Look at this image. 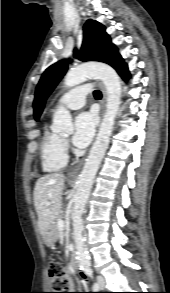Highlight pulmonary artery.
<instances>
[{"label":"pulmonary artery","instance_id":"pulmonary-artery-1","mask_svg":"<svg viewBox=\"0 0 170 293\" xmlns=\"http://www.w3.org/2000/svg\"><path fill=\"white\" fill-rule=\"evenodd\" d=\"M90 89L91 87L88 84L77 86L66 92L58 103L70 109H79L84 106L86 95L90 92Z\"/></svg>","mask_w":170,"mask_h":293}]
</instances>
